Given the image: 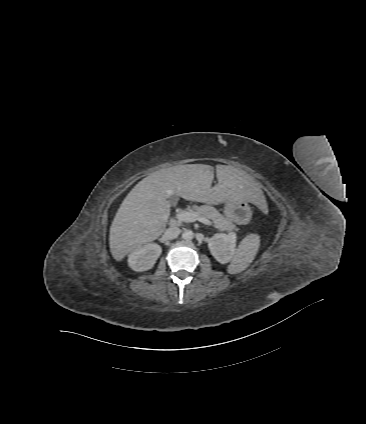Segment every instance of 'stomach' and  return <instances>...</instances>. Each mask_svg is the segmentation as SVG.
I'll return each mask as SVG.
<instances>
[{"instance_id":"1","label":"stomach","mask_w":366,"mask_h":424,"mask_svg":"<svg viewBox=\"0 0 366 424\" xmlns=\"http://www.w3.org/2000/svg\"><path fill=\"white\" fill-rule=\"evenodd\" d=\"M247 212L250 215L249 201L247 200H229L225 203L224 213L226 217L234 222H241V213Z\"/></svg>"}]
</instances>
